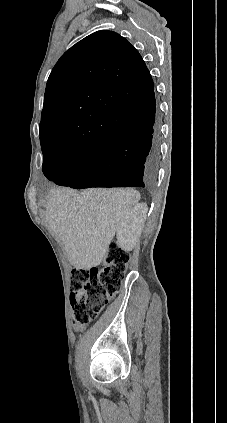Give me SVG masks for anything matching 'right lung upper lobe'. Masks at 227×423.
<instances>
[{"instance_id":"1","label":"right lung upper lobe","mask_w":227,"mask_h":423,"mask_svg":"<svg viewBox=\"0 0 227 423\" xmlns=\"http://www.w3.org/2000/svg\"><path fill=\"white\" fill-rule=\"evenodd\" d=\"M153 80L138 51L112 31H97L66 51L46 86L40 141L87 150L128 130L130 121L101 109L141 101Z\"/></svg>"}]
</instances>
